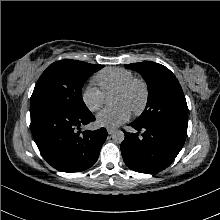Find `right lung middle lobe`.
<instances>
[{
    "mask_svg": "<svg viewBox=\"0 0 220 220\" xmlns=\"http://www.w3.org/2000/svg\"><path fill=\"white\" fill-rule=\"evenodd\" d=\"M104 65L64 59L51 64L38 79L31 103L48 102L74 112H86L81 90L84 82Z\"/></svg>",
    "mask_w": 220,
    "mask_h": 220,
    "instance_id": "1",
    "label": "right lung middle lobe"
}]
</instances>
